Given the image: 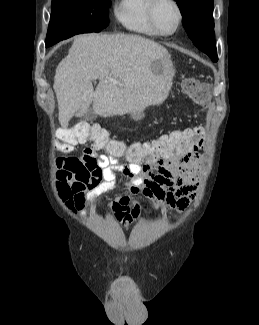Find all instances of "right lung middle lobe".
I'll return each mask as SVG.
<instances>
[{"label":"right lung middle lobe","mask_w":259,"mask_h":325,"mask_svg":"<svg viewBox=\"0 0 259 325\" xmlns=\"http://www.w3.org/2000/svg\"><path fill=\"white\" fill-rule=\"evenodd\" d=\"M109 3L110 0H52L46 47L75 34L106 28Z\"/></svg>","instance_id":"dd1d6c3e"}]
</instances>
